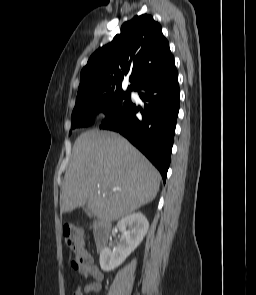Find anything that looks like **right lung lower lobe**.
Instances as JSON below:
<instances>
[{
  "mask_svg": "<svg viewBox=\"0 0 256 295\" xmlns=\"http://www.w3.org/2000/svg\"><path fill=\"white\" fill-rule=\"evenodd\" d=\"M135 90L147 102L144 111L132 103L122 114L106 118L100 128L126 137L157 167L165 182L180 101L174 57L147 75ZM138 111L140 118L136 117Z\"/></svg>",
  "mask_w": 256,
  "mask_h": 295,
  "instance_id": "right-lung-lower-lobe-1",
  "label": "right lung lower lobe"
}]
</instances>
